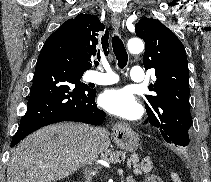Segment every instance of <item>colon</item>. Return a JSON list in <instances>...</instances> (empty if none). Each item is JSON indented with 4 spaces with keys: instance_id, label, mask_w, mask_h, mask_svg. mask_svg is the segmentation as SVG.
<instances>
[{
    "instance_id": "1",
    "label": "colon",
    "mask_w": 211,
    "mask_h": 182,
    "mask_svg": "<svg viewBox=\"0 0 211 182\" xmlns=\"http://www.w3.org/2000/svg\"><path fill=\"white\" fill-rule=\"evenodd\" d=\"M146 180L147 182H162V179L160 178V176L155 173H151L147 175Z\"/></svg>"
}]
</instances>
